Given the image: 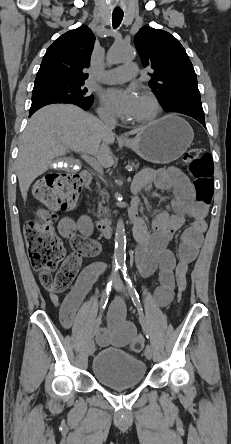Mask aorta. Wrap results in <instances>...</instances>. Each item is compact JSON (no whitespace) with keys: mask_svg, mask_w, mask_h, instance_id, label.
<instances>
[{"mask_svg":"<svg viewBox=\"0 0 231 444\" xmlns=\"http://www.w3.org/2000/svg\"><path fill=\"white\" fill-rule=\"evenodd\" d=\"M134 55V50L130 45L122 41L116 42L108 55V61L112 64H119L124 61L131 60ZM115 261L117 265L123 264L125 261L126 236L123 219L120 218L117 222L115 231Z\"/></svg>","mask_w":231,"mask_h":444,"instance_id":"1","label":"aorta"}]
</instances>
